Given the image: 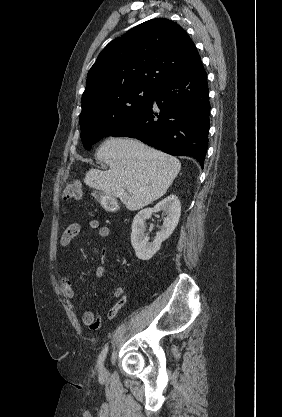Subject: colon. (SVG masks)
<instances>
[{"instance_id":"obj_1","label":"colon","mask_w":282,"mask_h":417,"mask_svg":"<svg viewBox=\"0 0 282 417\" xmlns=\"http://www.w3.org/2000/svg\"><path fill=\"white\" fill-rule=\"evenodd\" d=\"M81 185L77 182H69L63 189V196L67 199H78L81 196Z\"/></svg>"}]
</instances>
